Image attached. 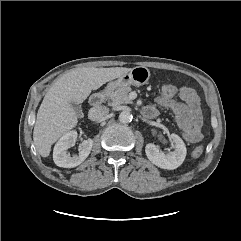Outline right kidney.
Instances as JSON below:
<instances>
[{
	"label": "right kidney",
	"mask_w": 241,
	"mask_h": 241,
	"mask_svg": "<svg viewBox=\"0 0 241 241\" xmlns=\"http://www.w3.org/2000/svg\"><path fill=\"white\" fill-rule=\"evenodd\" d=\"M77 140V132L69 131L65 133L56 143L53 150V160L59 167L73 168L80 165L90 154L93 140L88 138L81 143V150L78 155L70 156L67 150L71 148Z\"/></svg>",
	"instance_id": "right-kidney-1"
}]
</instances>
